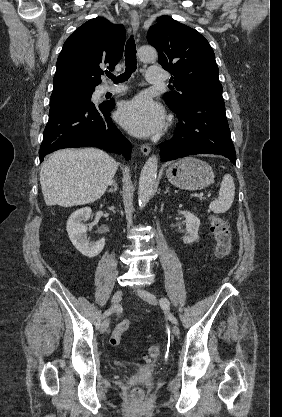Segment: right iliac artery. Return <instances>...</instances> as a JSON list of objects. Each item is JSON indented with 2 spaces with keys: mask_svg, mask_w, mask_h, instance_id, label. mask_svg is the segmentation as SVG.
<instances>
[{
  "mask_svg": "<svg viewBox=\"0 0 282 417\" xmlns=\"http://www.w3.org/2000/svg\"><path fill=\"white\" fill-rule=\"evenodd\" d=\"M113 312H114V308H109V309H107V310L103 313V315L101 316V318L99 319L97 326L99 327V326H100V323H101V320H102V319H104L105 317L109 316V315H110V314H112Z\"/></svg>",
  "mask_w": 282,
  "mask_h": 417,
  "instance_id": "right-iliac-artery-1",
  "label": "right iliac artery"
}]
</instances>
